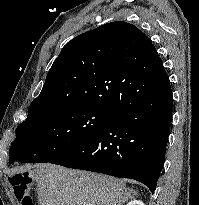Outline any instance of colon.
Wrapping results in <instances>:
<instances>
[{
  "label": "colon",
  "mask_w": 199,
  "mask_h": 205,
  "mask_svg": "<svg viewBox=\"0 0 199 205\" xmlns=\"http://www.w3.org/2000/svg\"><path fill=\"white\" fill-rule=\"evenodd\" d=\"M30 180L31 176L27 173L15 174L10 179L14 194L21 205H33V201L28 195Z\"/></svg>",
  "instance_id": "1"
}]
</instances>
